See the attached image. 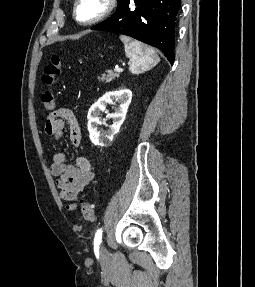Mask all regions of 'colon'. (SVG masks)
Listing matches in <instances>:
<instances>
[{
	"mask_svg": "<svg viewBox=\"0 0 255 287\" xmlns=\"http://www.w3.org/2000/svg\"><path fill=\"white\" fill-rule=\"evenodd\" d=\"M61 69V58L53 54L49 63L45 66L42 81L47 86H53L59 78ZM43 105L46 110L52 111L55 108V96L51 91L43 92L41 96ZM82 217L90 222L95 221L93 206L88 201H83L81 205Z\"/></svg>",
	"mask_w": 255,
	"mask_h": 287,
	"instance_id": "colon-1",
	"label": "colon"
}]
</instances>
